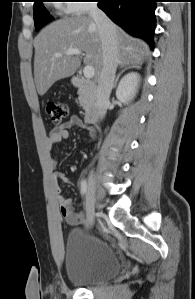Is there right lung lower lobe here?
Returning a JSON list of instances; mask_svg holds the SVG:
<instances>
[{"instance_id":"1","label":"right lung lower lobe","mask_w":195,"mask_h":299,"mask_svg":"<svg viewBox=\"0 0 195 299\" xmlns=\"http://www.w3.org/2000/svg\"><path fill=\"white\" fill-rule=\"evenodd\" d=\"M98 7L132 36L154 47L153 35L157 0H97Z\"/></svg>"}]
</instances>
